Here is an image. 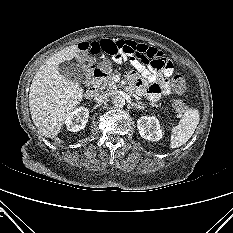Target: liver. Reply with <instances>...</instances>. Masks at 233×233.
Here are the masks:
<instances>
[{
	"instance_id": "1",
	"label": "liver",
	"mask_w": 233,
	"mask_h": 233,
	"mask_svg": "<svg viewBox=\"0 0 233 233\" xmlns=\"http://www.w3.org/2000/svg\"><path fill=\"white\" fill-rule=\"evenodd\" d=\"M78 52V47L71 45L54 54L38 69L32 80L30 112L34 125L45 137H55L83 99L82 87L58 71L59 64L72 60Z\"/></svg>"
}]
</instances>
